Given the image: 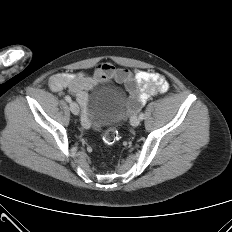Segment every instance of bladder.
I'll use <instances>...</instances> for the list:
<instances>
[{
	"mask_svg": "<svg viewBox=\"0 0 232 232\" xmlns=\"http://www.w3.org/2000/svg\"><path fill=\"white\" fill-rule=\"evenodd\" d=\"M124 98V92L119 88L110 86L97 88L91 99L94 120L99 123L108 122L121 111Z\"/></svg>",
	"mask_w": 232,
	"mask_h": 232,
	"instance_id": "31cf9c89",
	"label": "bladder"
}]
</instances>
